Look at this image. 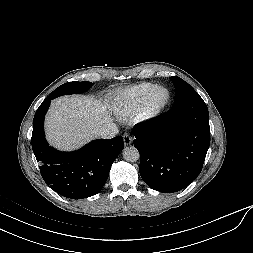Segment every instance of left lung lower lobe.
<instances>
[{
    "label": "left lung lower lobe",
    "mask_w": 253,
    "mask_h": 253,
    "mask_svg": "<svg viewBox=\"0 0 253 253\" xmlns=\"http://www.w3.org/2000/svg\"><path fill=\"white\" fill-rule=\"evenodd\" d=\"M132 132L141 178L152 189L177 192L200 174L210 145L209 113L201 97L135 125Z\"/></svg>",
    "instance_id": "0a47b994"
}]
</instances>
